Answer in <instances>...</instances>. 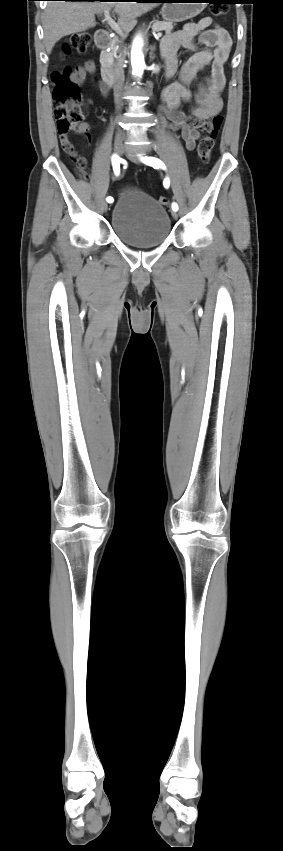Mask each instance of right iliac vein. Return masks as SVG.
Segmentation results:
<instances>
[{
  "instance_id": "obj_1",
  "label": "right iliac vein",
  "mask_w": 283,
  "mask_h": 851,
  "mask_svg": "<svg viewBox=\"0 0 283 851\" xmlns=\"http://www.w3.org/2000/svg\"><path fill=\"white\" fill-rule=\"evenodd\" d=\"M124 151H125V148H124L123 143H122L121 141L117 140V141L115 142V152H116L117 154H119V155H122V154L124 153ZM102 207H103V210H104L105 212H107V210H108V204H107V202H106V201H104V202H103Z\"/></svg>"
}]
</instances>
